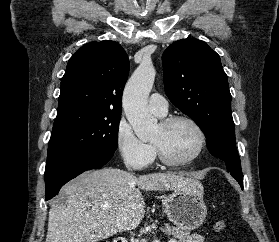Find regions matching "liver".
I'll list each match as a JSON object with an SVG mask.
<instances>
[{"mask_svg":"<svg viewBox=\"0 0 279 242\" xmlns=\"http://www.w3.org/2000/svg\"><path fill=\"white\" fill-rule=\"evenodd\" d=\"M137 186V187H136ZM200 184L172 172L135 175L104 168L79 175L49 210L46 242H97L138 227L145 215L140 190H191Z\"/></svg>","mask_w":279,"mask_h":242,"instance_id":"liver-1","label":"liver"}]
</instances>
